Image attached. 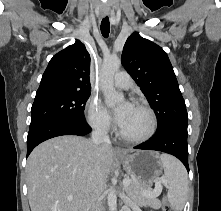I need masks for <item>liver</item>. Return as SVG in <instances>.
I'll list each match as a JSON object with an SVG mask.
<instances>
[{
    "instance_id": "liver-1",
    "label": "liver",
    "mask_w": 221,
    "mask_h": 211,
    "mask_svg": "<svg viewBox=\"0 0 221 211\" xmlns=\"http://www.w3.org/2000/svg\"><path fill=\"white\" fill-rule=\"evenodd\" d=\"M113 162L111 146L98 147L79 136H59L41 143L26 166L31 211H88L97 179L105 183Z\"/></svg>"
}]
</instances>
